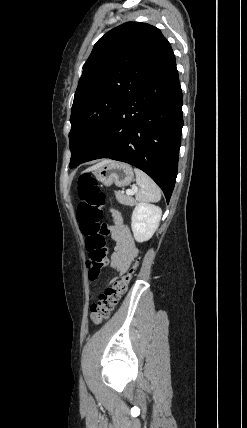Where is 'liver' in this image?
<instances>
[{"label":"liver","mask_w":247,"mask_h":428,"mask_svg":"<svg viewBox=\"0 0 247 428\" xmlns=\"http://www.w3.org/2000/svg\"><path fill=\"white\" fill-rule=\"evenodd\" d=\"M110 161L111 160H103L102 162H100V163H98V164H96V165L88 168L87 171H92V170L96 169L97 167H99V166H101L103 164L109 163Z\"/></svg>","instance_id":"1"}]
</instances>
